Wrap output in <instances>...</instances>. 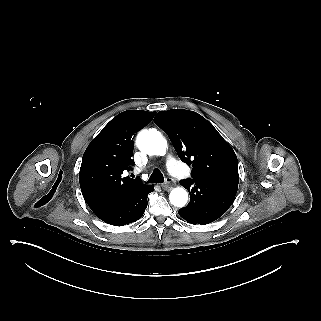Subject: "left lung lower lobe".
I'll list each match as a JSON object with an SVG mask.
<instances>
[{
	"mask_svg": "<svg viewBox=\"0 0 321 321\" xmlns=\"http://www.w3.org/2000/svg\"><path fill=\"white\" fill-rule=\"evenodd\" d=\"M238 175H221L181 180L191 196L179 215L191 224L206 225L222 216L231 206L238 190Z\"/></svg>",
	"mask_w": 321,
	"mask_h": 321,
	"instance_id": "obj_1",
	"label": "left lung lower lobe"
}]
</instances>
